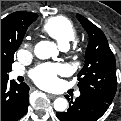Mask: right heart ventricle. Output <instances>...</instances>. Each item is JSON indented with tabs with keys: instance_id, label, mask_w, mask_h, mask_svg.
I'll list each match as a JSON object with an SVG mask.
<instances>
[{
	"instance_id": "obj_1",
	"label": "right heart ventricle",
	"mask_w": 121,
	"mask_h": 121,
	"mask_svg": "<svg viewBox=\"0 0 121 121\" xmlns=\"http://www.w3.org/2000/svg\"><path fill=\"white\" fill-rule=\"evenodd\" d=\"M42 31L54 38L61 48H67L76 38L73 23L62 16L47 19L42 25Z\"/></svg>"
}]
</instances>
